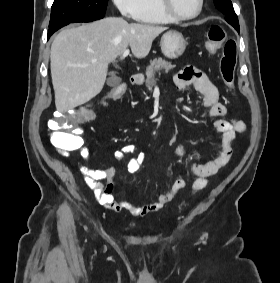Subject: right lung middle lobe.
Segmentation results:
<instances>
[{"instance_id": "right-lung-middle-lobe-1", "label": "right lung middle lobe", "mask_w": 280, "mask_h": 283, "mask_svg": "<svg viewBox=\"0 0 280 283\" xmlns=\"http://www.w3.org/2000/svg\"><path fill=\"white\" fill-rule=\"evenodd\" d=\"M108 0H55L49 29L75 22H91L105 15Z\"/></svg>"}]
</instances>
